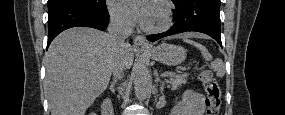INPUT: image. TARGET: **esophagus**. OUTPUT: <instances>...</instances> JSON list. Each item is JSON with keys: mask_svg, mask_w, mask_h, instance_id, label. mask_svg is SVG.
<instances>
[{"mask_svg": "<svg viewBox=\"0 0 285 115\" xmlns=\"http://www.w3.org/2000/svg\"><path fill=\"white\" fill-rule=\"evenodd\" d=\"M134 47L138 49H147V48H150V45L146 41L145 36L136 35L134 38Z\"/></svg>", "mask_w": 285, "mask_h": 115, "instance_id": "1", "label": "esophagus"}]
</instances>
